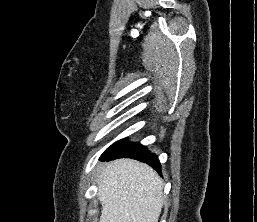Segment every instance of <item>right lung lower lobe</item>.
<instances>
[{
  "label": "right lung lower lobe",
  "instance_id": "1",
  "mask_svg": "<svg viewBox=\"0 0 257 222\" xmlns=\"http://www.w3.org/2000/svg\"><path fill=\"white\" fill-rule=\"evenodd\" d=\"M118 158H132L147 163L161 173V165L157 155L151 153L140 143H127L126 139L117 141L111 145L100 157V160L108 161Z\"/></svg>",
  "mask_w": 257,
  "mask_h": 222
}]
</instances>
